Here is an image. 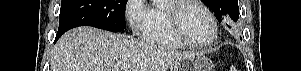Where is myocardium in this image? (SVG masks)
I'll list each match as a JSON object with an SVG mask.
<instances>
[{"label": "myocardium", "instance_id": "1", "mask_svg": "<svg viewBox=\"0 0 301 71\" xmlns=\"http://www.w3.org/2000/svg\"><path fill=\"white\" fill-rule=\"evenodd\" d=\"M191 5L200 7L205 12V14L209 17L212 23L213 26L212 37L210 38V40H208L205 43L193 42L187 37L185 33L183 23L181 20V14L184 9H186ZM164 11L173 34L184 45L192 48L204 49L212 46L216 41L219 32L217 20L213 15V13L202 2L196 0H169L164 7Z\"/></svg>", "mask_w": 301, "mask_h": 71}]
</instances>
